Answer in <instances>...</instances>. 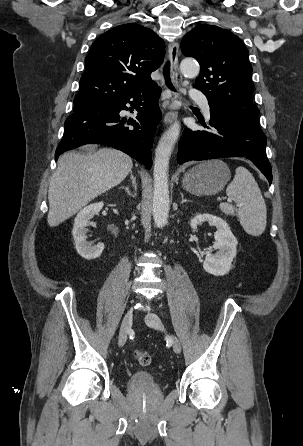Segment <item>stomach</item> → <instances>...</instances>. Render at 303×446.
Masks as SVG:
<instances>
[{
  "mask_svg": "<svg viewBox=\"0 0 303 446\" xmlns=\"http://www.w3.org/2000/svg\"><path fill=\"white\" fill-rule=\"evenodd\" d=\"M230 178V169L223 161H204L184 175L182 185L192 194L214 195L223 190Z\"/></svg>",
  "mask_w": 303,
  "mask_h": 446,
  "instance_id": "1",
  "label": "stomach"
}]
</instances>
